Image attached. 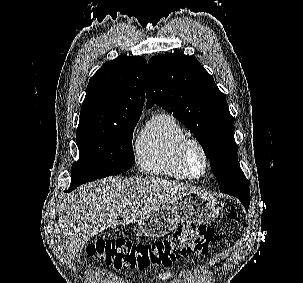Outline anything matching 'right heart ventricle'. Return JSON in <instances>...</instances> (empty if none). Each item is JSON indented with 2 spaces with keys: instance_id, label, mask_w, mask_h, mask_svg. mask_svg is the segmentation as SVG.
<instances>
[{
  "instance_id": "right-heart-ventricle-1",
  "label": "right heart ventricle",
  "mask_w": 303,
  "mask_h": 283,
  "mask_svg": "<svg viewBox=\"0 0 303 283\" xmlns=\"http://www.w3.org/2000/svg\"><path fill=\"white\" fill-rule=\"evenodd\" d=\"M187 133L170 114H155L139 137L136 153L140 168L149 174L174 180L190 179L179 157L180 147Z\"/></svg>"
}]
</instances>
